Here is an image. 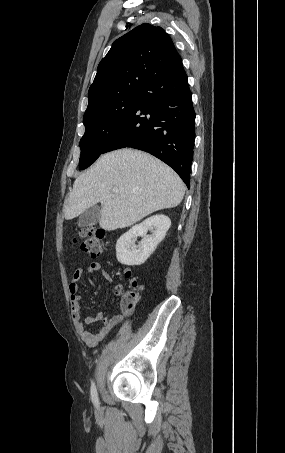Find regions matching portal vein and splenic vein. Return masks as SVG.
<instances>
[{"label":"portal vein and splenic vein","instance_id":"1","mask_svg":"<svg viewBox=\"0 0 285 453\" xmlns=\"http://www.w3.org/2000/svg\"><path fill=\"white\" fill-rule=\"evenodd\" d=\"M112 191H113L114 193H117V192H118V188H113Z\"/></svg>","mask_w":285,"mask_h":453}]
</instances>
